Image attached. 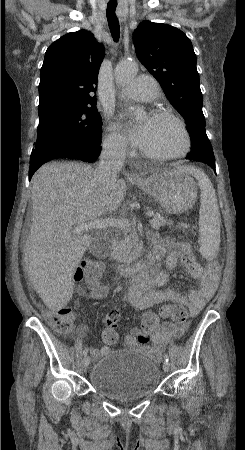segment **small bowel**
Instances as JSON below:
<instances>
[{
    "instance_id": "small-bowel-1",
    "label": "small bowel",
    "mask_w": 245,
    "mask_h": 450,
    "mask_svg": "<svg viewBox=\"0 0 245 450\" xmlns=\"http://www.w3.org/2000/svg\"><path fill=\"white\" fill-rule=\"evenodd\" d=\"M149 257L156 260L153 270L135 275L128 288V301L138 310L150 309L153 306L167 304H181L188 308L191 317L199 315L206 302L216 290L219 281V269L211 272L203 268L188 243L176 241L170 237L160 238L157 234H150ZM164 266L161 268V263ZM181 264L192 277L200 283V289L188 294L181 293L173 288L166 287L170 272ZM111 283L96 287L89 286L79 294L87 298H104ZM187 324H177L173 321H160L152 333L153 350L161 353L173 338H178L187 330ZM138 329L124 337V344L130 349H142L150 352L151 349L137 341ZM74 338V337H73ZM110 352L108 346L100 352L90 349L92 355Z\"/></svg>"
}]
</instances>
